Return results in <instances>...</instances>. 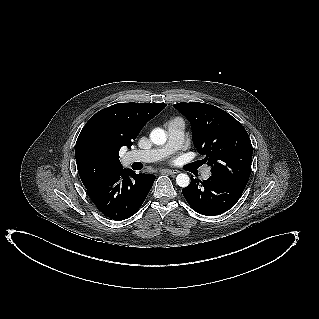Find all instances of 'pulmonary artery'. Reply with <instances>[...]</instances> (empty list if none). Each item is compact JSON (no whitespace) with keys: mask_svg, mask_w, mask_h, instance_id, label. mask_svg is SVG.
I'll use <instances>...</instances> for the list:
<instances>
[{"mask_svg":"<svg viewBox=\"0 0 319 319\" xmlns=\"http://www.w3.org/2000/svg\"><path fill=\"white\" fill-rule=\"evenodd\" d=\"M184 132H185V125L183 121L176 119L172 120L167 124V142L165 145L150 149V150H134L126 155V160L129 162H154L161 160L168 155L174 153L178 150L184 140ZM211 173L208 168L204 169L202 172V178L208 179Z\"/></svg>","mask_w":319,"mask_h":319,"instance_id":"pulmonary-artery-1","label":"pulmonary artery"}]
</instances>
